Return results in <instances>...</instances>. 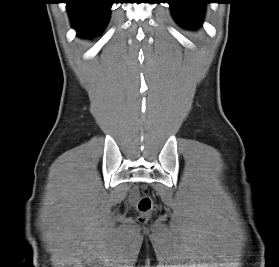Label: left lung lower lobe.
<instances>
[{"mask_svg":"<svg viewBox=\"0 0 279 267\" xmlns=\"http://www.w3.org/2000/svg\"><path fill=\"white\" fill-rule=\"evenodd\" d=\"M176 20L186 27L194 28L202 21L204 5L208 0H168Z\"/></svg>","mask_w":279,"mask_h":267,"instance_id":"1","label":"left lung lower lobe"}]
</instances>
